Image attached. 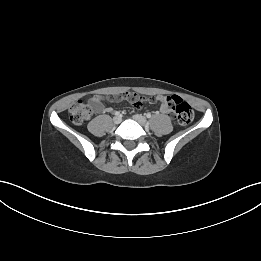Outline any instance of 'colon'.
Masks as SVG:
<instances>
[{
    "instance_id": "obj_1",
    "label": "colon",
    "mask_w": 261,
    "mask_h": 261,
    "mask_svg": "<svg viewBox=\"0 0 261 261\" xmlns=\"http://www.w3.org/2000/svg\"><path fill=\"white\" fill-rule=\"evenodd\" d=\"M158 99L165 104L168 114L174 116L180 124L187 125L192 122L194 111L186 101L178 96H165ZM91 114V108L82 101L75 102L69 109L70 119L77 125L87 121Z\"/></svg>"
}]
</instances>
